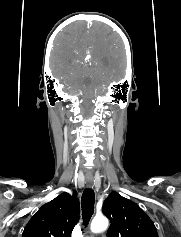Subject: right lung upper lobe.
I'll return each instance as SVG.
<instances>
[{"instance_id":"obj_1","label":"right lung upper lobe","mask_w":181,"mask_h":237,"mask_svg":"<svg viewBox=\"0 0 181 237\" xmlns=\"http://www.w3.org/2000/svg\"><path fill=\"white\" fill-rule=\"evenodd\" d=\"M77 192L61 193L44 204L25 226L22 237H71L79 220Z\"/></svg>"}]
</instances>
